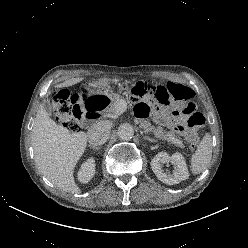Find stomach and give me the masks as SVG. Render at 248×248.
Returning a JSON list of instances; mask_svg holds the SVG:
<instances>
[{"label":"stomach","instance_id":"obj_1","mask_svg":"<svg viewBox=\"0 0 248 248\" xmlns=\"http://www.w3.org/2000/svg\"><path fill=\"white\" fill-rule=\"evenodd\" d=\"M108 89L109 82L103 76H96L91 82L82 83L78 88L82 106L95 114L107 113L111 108Z\"/></svg>","mask_w":248,"mask_h":248}]
</instances>
